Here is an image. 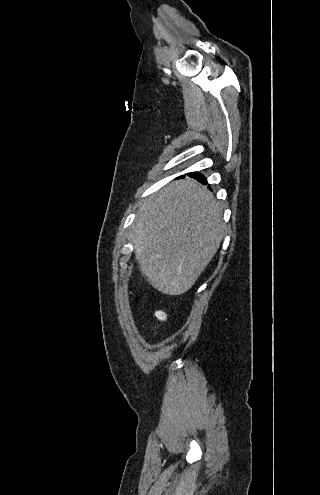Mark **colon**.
Instances as JSON below:
<instances>
[{
	"label": "colon",
	"mask_w": 320,
	"mask_h": 495,
	"mask_svg": "<svg viewBox=\"0 0 320 495\" xmlns=\"http://www.w3.org/2000/svg\"><path fill=\"white\" fill-rule=\"evenodd\" d=\"M157 318H158V319H160V320H163V319L165 318V314H164V312L159 311V312L157 313Z\"/></svg>",
	"instance_id": "colon-1"
}]
</instances>
